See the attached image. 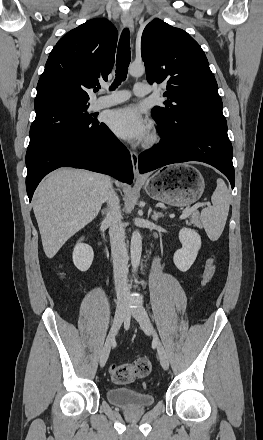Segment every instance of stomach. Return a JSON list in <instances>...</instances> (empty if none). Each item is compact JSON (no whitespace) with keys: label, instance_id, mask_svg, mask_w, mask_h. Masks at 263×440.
I'll return each instance as SVG.
<instances>
[{"label":"stomach","instance_id":"1","mask_svg":"<svg viewBox=\"0 0 263 440\" xmlns=\"http://www.w3.org/2000/svg\"><path fill=\"white\" fill-rule=\"evenodd\" d=\"M205 188L201 173L189 165H176L146 179L144 189L154 200L184 207L196 202Z\"/></svg>","mask_w":263,"mask_h":440}]
</instances>
